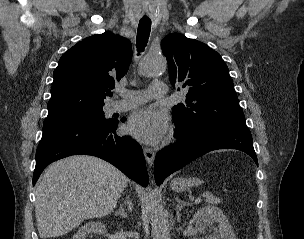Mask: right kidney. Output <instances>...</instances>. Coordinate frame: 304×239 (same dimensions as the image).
Returning <instances> with one entry per match:
<instances>
[{
	"mask_svg": "<svg viewBox=\"0 0 304 239\" xmlns=\"http://www.w3.org/2000/svg\"><path fill=\"white\" fill-rule=\"evenodd\" d=\"M105 232V226L101 222L91 221L79 228L73 239H86L88 234H101Z\"/></svg>",
	"mask_w": 304,
	"mask_h": 239,
	"instance_id": "1",
	"label": "right kidney"
}]
</instances>
